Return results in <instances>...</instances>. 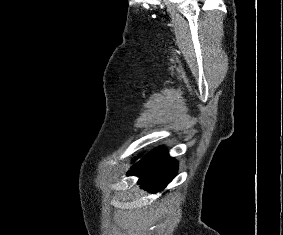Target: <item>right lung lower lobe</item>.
Instances as JSON below:
<instances>
[{
  "instance_id": "1",
  "label": "right lung lower lobe",
  "mask_w": 283,
  "mask_h": 235,
  "mask_svg": "<svg viewBox=\"0 0 283 235\" xmlns=\"http://www.w3.org/2000/svg\"><path fill=\"white\" fill-rule=\"evenodd\" d=\"M177 162L162 147L146 154L128 174L141 175L140 182L150 191H161L175 176Z\"/></svg>"
}]
</instances>
